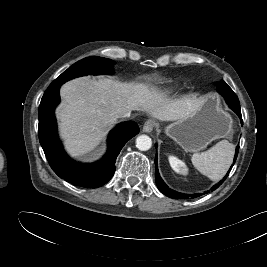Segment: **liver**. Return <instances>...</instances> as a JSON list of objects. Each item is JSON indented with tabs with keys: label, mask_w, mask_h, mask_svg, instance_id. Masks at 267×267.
<instances>
[{
	"label": "liver",
	"mask_w": 267,
	"mask_h": 267,
	"mask_svg": "<svg viewBox=\"0 0 267 267\" xmlns=\"http://www.w3.org/2000/svg\"><path fill=\"white\" fill-rule=\"evenodd\" d=\"M56 110L60 135L73 156L92 151L125 112L142 110L160 121H175L195 112L202 100L183 96L172 99L143 83H122L109 78L80 77L60 89Z\"/></svg>",
	"instance_id": "6515ba94"
}]
</instances>
